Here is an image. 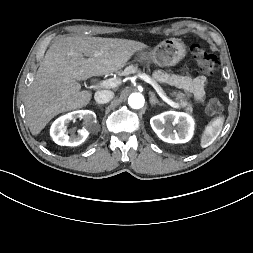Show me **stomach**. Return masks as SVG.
<instances>
[{
  "label": "stomach",
  "instance_id": "stomach-1",
  "mask_svg": "<svg viewBox=\"0 0 253 253\" xmlns=\"http://www.w3.org/2000/svg\"><path fill=\"white\" fill-rule=\"evenodd\" d=\"M186 46L179 39L170 38L159 43L152 51L140 50L137 61H152L159 66H174L186 56Z\"/></svg>",
  "mask_w": 253,
  "mask_h": 253
}]
</instances>
